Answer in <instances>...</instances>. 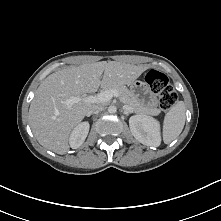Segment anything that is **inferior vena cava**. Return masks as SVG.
I'll use <instances>...</instances> for the list:
<instances>
[{
  "label": "inferior vena cava",
  "instance_id": "obj_1",
  "mask_svg": "<svg viewBox=\"0 0 221 221\" xmlns=\"http://www.w3.org/2000/svg\"><path fill=\"white\" fill-rule=\"evenodd\" d=\"M102 110H103V106H101V105H93L92 109L88 112L87 115L94 114V113H99Z\"/></svg>",
  "mask_w": 221,
  "mask_h": 221
}]
</instances>
